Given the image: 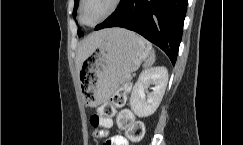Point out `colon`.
<instances>
[{
	"mask_svg": "<svg viewBox=\"0 0 243 145\" xmlns=\"http://www.w3.org/2000/svg\"><path fill=\"white\" fill-rule=\"evenodd\" d=\"M130 88V84L125 85L116 91L109 101L98 107L97 113L90 117V126L92 129L97 130L99 127L111 126V118L115 115L116 108L124 105L126 93ZM117 125L120 129L125 131L127 138L131 141H140L144 136L143 123L136 121L132 112L129 110H122L118 114ZM103 145H110V142L107 141Z\"/></svg>",
	"mask_w": 243,
	"mask_h": 145,
	"instance_id": "1",
	"label": "colon"
}]
</instances>
